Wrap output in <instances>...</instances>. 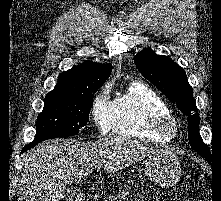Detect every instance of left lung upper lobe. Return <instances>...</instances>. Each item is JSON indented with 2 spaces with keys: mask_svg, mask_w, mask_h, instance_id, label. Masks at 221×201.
I'll use <instances>...</instances> for the list:
<instances>
[{
  "mask_svg": "<svg viewBox=\"0 0 221 201\" xmlns=\"http://www.w3.org/2000/svg\"><path fill=\"white\" fill-rule=\"evenodd\" d=\"M134 61L141 74L188 116L190 146L205 159H211L210 149L199 134L200 119L198 114H193V111L197 112V107L183 68L171 58L155 54L151 48L140 51Z\"/></svg>",
  "mask_w": 221,
  "mask_h": 201,
  "instance_id": "left-lung-upper-lobe-1",
  "label": "left lung upper lobe"
}]
</instances>
